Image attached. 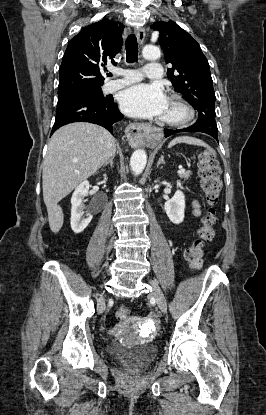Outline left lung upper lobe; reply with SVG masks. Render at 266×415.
<instances>
[{
	"label": "left lung upper lobe",
	"mask_w": 266,
	"mask_h": 415,
	"mask_svg": "<svg viewBox=\"0 0 266 415\" xmlns=\"http://www.w3.org/2000/svg\"><path fill=\"white\" fill-rule=\"evenodd\" d=\"M152 28L160 32L159 42L169 69V78L176 92L197 111L199 118L190 126L196 132L217 135L215 93L209 63L199 44L176 23L156 22Z\"/></svg>",
	"instance_id": "left-lung-upper-lobe-1"
}]
</instances>
